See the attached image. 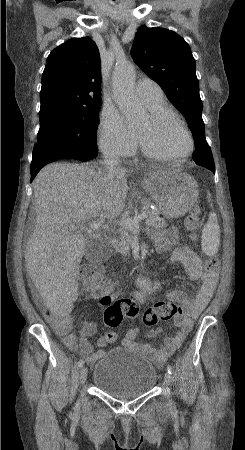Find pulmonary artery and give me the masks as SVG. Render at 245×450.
I'll return each mask as SVG.
<instances>
[{
  "label": "pulmonary artery",
  "mask_w": 245,
  "mask_h": 450,
  "mask_svg": "<svg viewBox=\"0 0 245 450\" xmlns=\"http://www.w3.org/2000/svg\"><path fill=\"white\" fill-rule=\"evenodd\" d=\"M135 92L139 99L147 106L163 102L164 93L161 87L153 80L144 78L135 85Z\"/></svg>",
  "instance_id": "e3ab8cb5"
}]
</instances>
